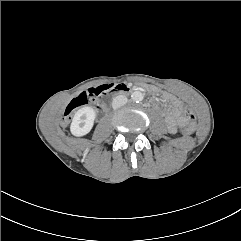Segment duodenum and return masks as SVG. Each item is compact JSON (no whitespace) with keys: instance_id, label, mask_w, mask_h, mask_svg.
<instances>
[{"instance_id":"1","label":"duodenum","mask_w":241,"mask_h":241,"mask_svg":"<svg viewBox=\"0 0 241 241\" xmlns=\"http://www.w3.org/2000/svg\"><path fill=\"white\" fill-rule=\"evenodd\" d=\"M117 94H124L129 91L128 87L124 84L116 85L110 89Z\"/></svg>"}]
</instances>
